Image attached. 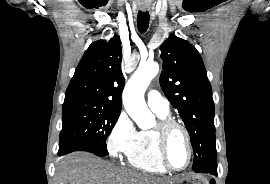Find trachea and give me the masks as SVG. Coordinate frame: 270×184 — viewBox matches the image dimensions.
I'll return each instance as SVG.
<instances>
[{
    "instance_id": "3493384b",
    "label": "trachea",
    "mask_w": 270,
    "mask_h": 184,
    "mask_svg": "<svg viewBox=\"0 0 270 184\" xmlns=\"http://www.w3.org/2000/svg\"><path fill=\"white\" fill-rule=\"evenodd\" d=\"M149 20H150V15H149L148 11H146V12L139 11L138 12L137 24H138V30L141 33L146 32V30L148 29Z\"/></svg>"
}]
</instances>
